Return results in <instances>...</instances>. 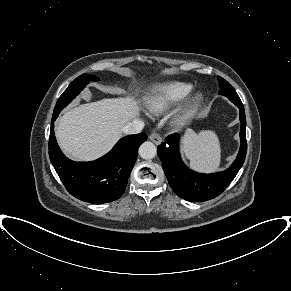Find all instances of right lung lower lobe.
Masks as SVG:
<instances>
[{"label": "right lung lower lobe", "instance_id": "right-lung-lower-lobe-1", "mask_svg": "<svg viewBox=\"0 0 291 291\" xmlns=\"http://www.w3.org/2000/svg\"><path fill=\"white\" fill-rule=\"evenodd\" d=\"M52 119L49 157L66 190L75 198L104 204L119 199L134 167L138 147L147 139L145 133L120 139L105 156L91 162H74L61 152L54 135Z\"/></svg>", "mask_w": 291, "mask_h": 291}]
</instances>
